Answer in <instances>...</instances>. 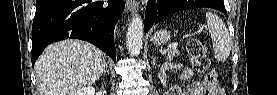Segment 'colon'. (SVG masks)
<instances>
[{
	"label": "colon",
	"instance_id": "colon-1",
	"mask_svg": "<svg viewBox=\"0 0 277 95\" xmlns=\"http://www.w3.org/2000/svg\"><path fill=\"white\" fill-rule=\"evenodd\" d=\"M188 53L194 70L198 73H205L207 81L212 83L215 80L214 72L208 70L210 61L206 46L199 39L192 38L188 43Z\"/></svg>",
	"mask_w": 277,
	"mask_h": 95
}]
</instances>
